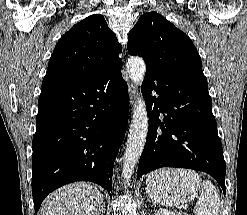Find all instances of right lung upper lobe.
<instances>
[{
  "mask_svg": "<svg viewBox=\"0 0 247 215\" xmlns=\"http://www.w3.org/2000/svg\"><path fill=\"white\" fill-rule=\"evenodd\" d=\"M122 46L100 14L88 16L66 32L56 44L47 75L70 81L95 77L122 63Z\"/></svg>",
  "mask_w": 247,
  "mask_h": 215,
  "instance_id": "1",
  "label": "right lung upper lobe"
}]
</instances>
